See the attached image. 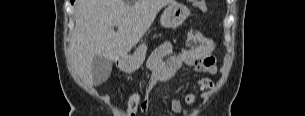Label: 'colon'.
Returning a JSON list of instances; mask_svg holds the SVG:
<instances>
[{"mask_svg": "<svg viewBox=\"0 0 305 116\" xmlns=\"http://www.w3.org/2000/svg\"><path fill=\"white\" fill-rule=\"evenodd\" d=\"M142 97L138 93L132 94L123 109L122 116H137L138 112L141 110Z\"/></svg>", "mask_w": 305, "mask_h": 116, "instance_id": "colon-1", "label": "colon"}]
</instances>
